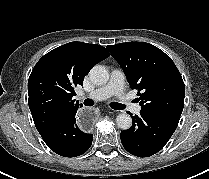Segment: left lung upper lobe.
I'll use <instances>...</instances> for the list:
<instances>
[{
	"mask_svg": "<svg viewBox=\"0 0 209 179\" xmlns=\"http://www.w3.org/2000/svg\"><path fill=\"white\" fill-rule=\"evenodd\" d=\"M107 49L122 67L131 88L138 90L141 110L181 116L184 82L168 55L145 42L120 43Z\"/></svg>",
	"mask_w": 209,
	"mask_h": 179,
	"instance_id": "obj_1",
	"label": "left lung upper lobe"
}]
</instances>
